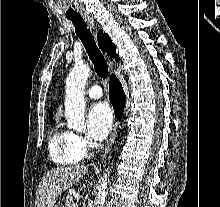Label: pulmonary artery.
I'll return each instance as SVG.
<instances>
[{
	"label": "pulmonary artery",
	"mask_w": 220,
	"mask_h": 207,
	"mask_svg": "<svg viewBox=\"0 0 220 207\" xmlns=\"http://www.w3.org/2000/svg\"><path fill=\"white\" fill-rule=\"evenodd\" d=\"M103 91L100 86L94 85L87 91V95L91 99H98L102 96Z\"/></svg>",
	"instance_id": "obj_1"
}]
</instances>
